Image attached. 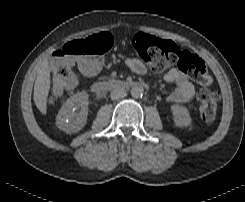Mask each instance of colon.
I'll return each instance as SVG.
<instances>
[{"label":"colon","mask_w":245,"mask_h":202,"mask_svg":"<svg viewBox=\"0 0 245 202\" xmlns=\"http://www.w3.org/2000/svg\"><path fill=\"white\" fill-rule=\"evenodd\" d=\"M114 44L113 36L108 32L92 35L85 40L69 41L53 52L54 76L53 91L60 93L68 90L74 82V59H81L84 72L91 73L90 63L99 65V57L109 51ZM133 51L155 73L165 71L177 64L185 73L191 74L202 87L198 98L199 114L203 121L215 119L218 112L219 94L210 89L211 79L207 74L204 61L197 55L185 50L171 40H164L145 33H137L131 40Z\"/></svg>","instance_id":"1"}]
</instances>
